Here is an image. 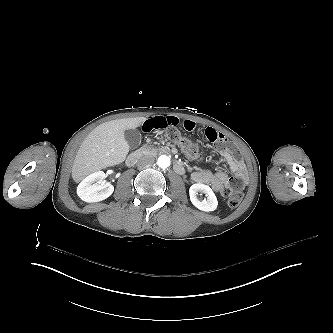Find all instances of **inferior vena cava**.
Returning a JSON list of instances; mask_svg holds the SVG:
<instances>
[{
    "instance_id": "inferior-vena-cava-1",
    "label": "inferior vena cava",
    "mask_w": 333,
    "mask_h": 333,
    "mask_svg": "<svg viewBox=\"0 0 333 333\" xmlns=\"http://www.w3.org/2000/svg\"><path fill=\"white\" fill-rule=\"evenodd\" d=\"M155 162V158L153 156H149V155H146V156H142L138 162H137V166L139 168H142V167H147V166H151L153 165Z\"/></svg>"
}]
</instances>
